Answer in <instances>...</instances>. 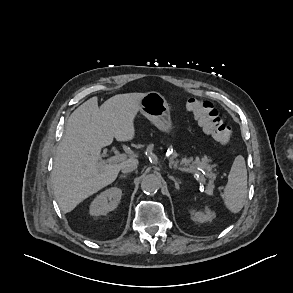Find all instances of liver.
<instances>
[{"label":"liver","mask_w":293,"mask_h":293,"mask_svg":"<svg viewBox=\"0 0 293 293\" xmlns=\"http://www.w3.org/2000/svg\"><path fill=\"white\" fill-rule=\"evenodd\" d=\"M144 94H118L99 108L93 97L69 117L62 141L56 149L51 173L56 201L63 213L115 181L122 163L100 161L101 149L135 137L134 120Z\"/></svg>","instance_id":"1"}]
</instances>
